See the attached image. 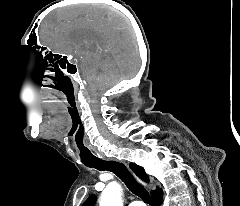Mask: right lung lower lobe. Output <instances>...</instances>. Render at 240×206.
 <instances>
[{
	"mask_svg": "<svg viewBox=\"0 0 240 206\" xmlns=\"http://www.w3.org/2000/svg\"><path fill=\"white\" fill-rule=\"evenodd\" d=\"M152 201L154 203V206H159L162 201V192L152 196Z\"/></svg>",
	"mask_w": 240,
	"mask_h": 206,
	"instance_id": "right-lung-lower-lobe-1",
	"label": "right lung lower lobe"
}]
</instances>
